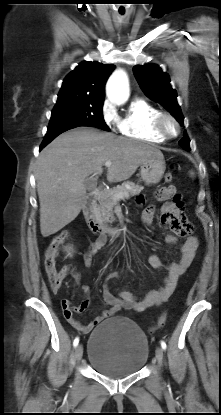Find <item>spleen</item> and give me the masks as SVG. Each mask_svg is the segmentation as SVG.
I'll use <instances>...</instances> for the list:
<instances>
[{"instance_id": "obj_1", "label": "spleen", "mask_w": 221, "mask_h": 415, "mask_svg": "<svg viewBox=\"0 0 221 415\" xmlns=\"http://www.w3.org/2000/svg\"><path fill=\"white\" fill-rule=\"evenodd\" d=\"M190 174H191V176H194V172H191Z\"/></svg>"}]
</instances>
